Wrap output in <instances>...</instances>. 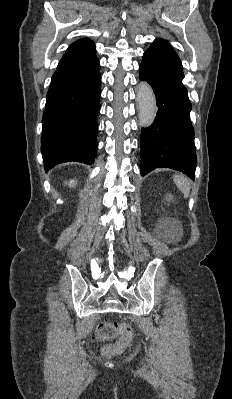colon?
<instances>
[{
    "label": "colon",
    "mask_w": 232,
    "mask_h": 399,
    "mask_svg": "<svg viewBox=\"0 0 232 399\" xmlns=\"http://www.w3.org/2000/svg\"><path fill=\"white\" fill-rule=\"evenodd\" d=\"M130 321H99L96 326V337L100 341H116L117 333H120V328H130Z\"/></svg>",
    "instance_id": "colon-1"
}]
</instances>
